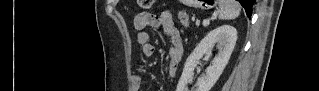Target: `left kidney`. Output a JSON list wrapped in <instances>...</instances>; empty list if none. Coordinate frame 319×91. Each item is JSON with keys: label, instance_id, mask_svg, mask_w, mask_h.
<instances>
[{"label": "left kidney", "instance_id": "1", "mask_svg": "<svg viewBox=\"0 0 319 91\" xmlns=\"http://www.w3.org/2000/svg\"><path fill=\"white\" fill-rule=\"evenodd\" d=\"M237 40L233 26L222 25L210 31L187 58L176 91H189L188 84L194 76V68L203 56H211L212 48L217 45L219 52L212 59L206 74L198 79L191 91H210L227 65Z\"/></svg>", "mask_w": 319, "mask_h": 91}]
</instances>
